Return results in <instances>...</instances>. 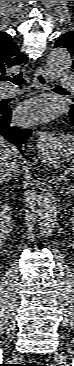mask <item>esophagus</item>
Returning a JSON list of instances; mask_svg holds the SVG:
<instances>
[{
	"instance_id": "esophagus-1",
	"label": "esophagus",
	"mask_w": 74,
	"mask_h": 366,
	"mask_svg": "<svg viewBox=\"0 0 74 366\" xmlns=\"http://www.w3.org/2000/svg\"><path fill=\"white\" fill-rule=\"evenodd\" d=\"M48 83V76L42 67H39L34 74V84L39 89H44ZM38 137L37 146L40 150H45L48 146V134L46 132H36Z\"/></svg>"
}]
</instances>
